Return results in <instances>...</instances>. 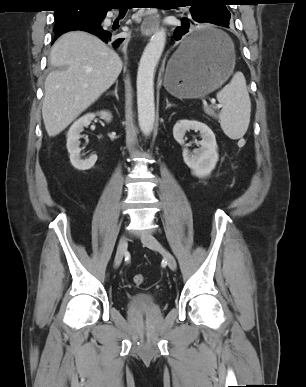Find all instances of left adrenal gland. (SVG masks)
Wrapping results in <instances>:
<instances>
[{"label": "left adrenal gland", "instance_id": "obj_1", "mask_svg": "<svg viewBox=\"0 0 306 387\" xmlns=\"http://www.w3.org/2000/svg\"><path fill=\"white\" fill-rule=\"evenodd\" d=\"M170 107H176L175 104H171L168 100V98H166V109L170 108Z\"/></svg>", "mask_w": 306, "mask_h": 387}]
</instances>
